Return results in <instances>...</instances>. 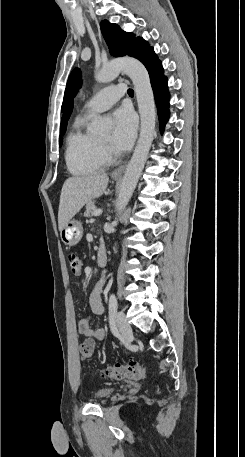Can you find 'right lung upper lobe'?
Masks as SVG:
<instances>
[{
    "label": "right lung upper lobe",
    "mask_w": 245,
    "mask_h": 457,
    "mask_svg": "<svg viewBox=\"0 0 245 457\" xmlns=\"http://www.w3.org/2000/svg\"><path fill=\"white\" fill-rule=\"evenodd\" d=\"M72 110H73V104H71L69 106V108L67 109V111L64 113L63 117H62V122H61V129H64L66 128V125H67V121L72 113Z\"/></svg>",
    "instance_id": "1"
}]
</instances>
